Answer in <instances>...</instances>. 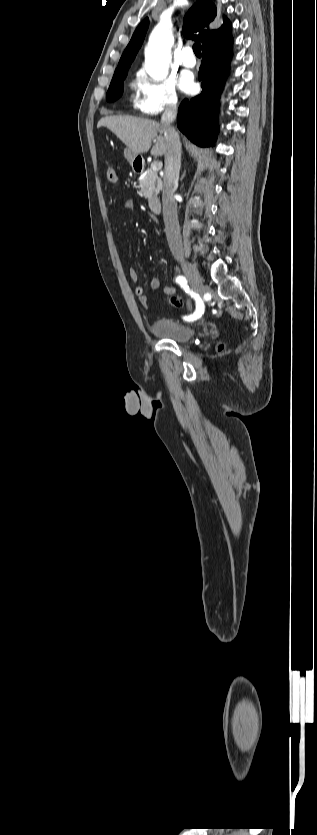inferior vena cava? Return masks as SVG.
<instances>
[{
  "mask_svg": "<svg viewBox=\"0 0 317 835\" xmlns=\"http://www.w3.org/2000/svg\"><path fill=\"white\" fill-rule=\"evenodd\" d=\"M177 109V104L171 102L167 104L161 116V126L164 130L166 141L162 202L165 231L170 250L174 257L181 258L183 255L182 238L177 215V203L173 196L178 187L181 166V143L178 133L171 126L172 122L176 119Z\"/></svg>",
  "mask_w": 317,
  "mask_h": 835,
  "instance_id": "inferior-vena-cava-1",
  "label": "inferior vena cava"
}]
</instances>
